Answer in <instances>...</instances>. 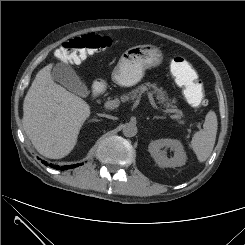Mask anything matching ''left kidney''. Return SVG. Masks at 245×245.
<instances>
[{"mask_svg": "<svg viewBox=\"0 0 245 245\" xmlns=\"http://www.w3.org/2000/svg\"><path fill=\"white\" fill-rule=\"evenodd\" d=\"M170 148L174 152V156L167 157L166 150L162 148ZM148 151L155 162L161 167H180L185 165L187 156L183 145L177 139H158L152 141L148 146Z\"/></svg>", "mask_w": 245, "mask_h": 245, "instance_id": "obj_1", "label": "left kidney"}]
</instances>
